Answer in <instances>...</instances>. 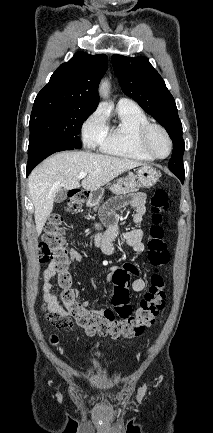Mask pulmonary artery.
Returning <instances> with one entry per match:
<instances>
[{"label": "pulmonary artery", "instance_id": "1", "mask_svg": "<svg viewBox=\"0 0 213 433\" xmlns=\"http://www.w3.org/2000/svg\"><path fill=\"white\" fill-rule=\"evenodd\" d=\"M119 103H134L131 99L127 98V97H121L119 99Z\"/></svg>", "mask_w": 213, "mask_h": 433}]
</instances>
